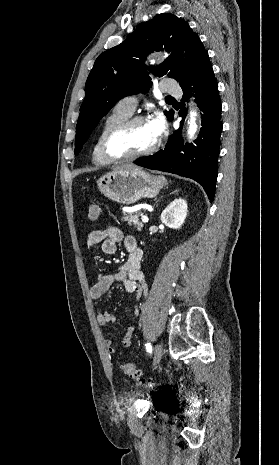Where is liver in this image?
Returning <instances> with one entry per match:
<instances>
[{"label":"liver","instance_id":"liver-1","mask_svg":"<svg viewBox=\"0 0 279 465\" xmlns=\"http://www.w3.org/2000/svg\"><path fill=\"white\" fill-rule=\"evenodd\" d=\"M121 168H136L134 165H124ZM119 168V169H121Z\"/></svg>","mask_w":279,"mask_h":465}]
</instances>
